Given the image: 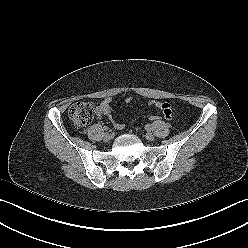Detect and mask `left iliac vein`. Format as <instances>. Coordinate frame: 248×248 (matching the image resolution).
Listing matches in <instances>:
<instances>
[{
  "mask_svg": "<svg viewBox=\"0 0 248 248\" xmlns=\"http://www.w3.org/2000/svg\"><path fill=\"white\" fill-rule=\"evenodd\" d=\"M145 137H146V139H147L148 141H153V140L155 139V136H154L152 133H150V132H148V133L145 135Z\"/></svg>",
  "mask_w": 248,
  "mask_h": 248,
  "instance_id": "obj_1",
  "label": "left iliac vein"
}]
</instances>
